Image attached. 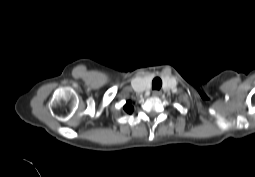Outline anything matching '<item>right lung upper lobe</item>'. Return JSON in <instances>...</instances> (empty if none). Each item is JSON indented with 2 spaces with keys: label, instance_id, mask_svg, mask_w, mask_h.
I'll use <instances>...</instances> for the list:
<instances>
[{
  "label": "right lung upper lobe",
  "instance_id": "right-lung-upper-lobe-1",
  "mask_svg": "<svg viewBox=\"0 0 255 177\" xmlns=\"http://www.w3.org/2000/svg\"><path fill=\"white\" fill-rule=\"evenodd\" d=\"M124 111L128 114H131L133 112V107L131 104V101H127V103L123 107Z\"/></svg>",
  "mask_w": 255,
  "mask_h": 177
}]
</instances>
